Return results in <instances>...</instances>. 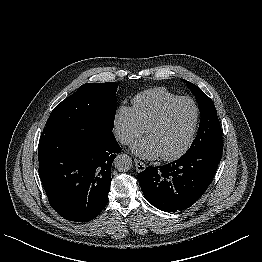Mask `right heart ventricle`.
Listing matches in <instances>:
<instances>
[{"mask_svg":"<svg viewBox=\"0 0 262 262\" xmlns=\"http://www.w3.org/2000/svg\"><path fill=\"white\" fill-rule=\"evenodd\" d=\"M178 97L180 96L163 87L148 89L133 97L132 109L145 129L163 107Z\"/></svg>","mask_w":262,"mask_h":262,"instance_id":"obj_1","label":"right heart ventricle"}]
</instances>
